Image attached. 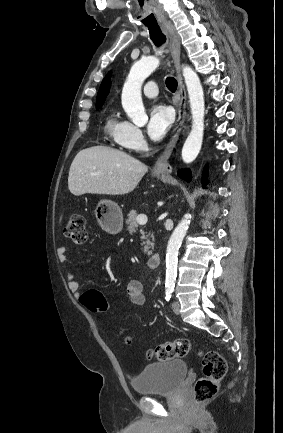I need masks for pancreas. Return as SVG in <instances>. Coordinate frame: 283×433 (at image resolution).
Wrapping results in <instances>:
<instances>
[{"instance_id": "cf45deb5", "label": "pancreas", "mask_w": 283, "mask_h": 433, "mask_svg": "<svg viewBox=\"0 0 283 433\" xmlns=\"http://www.w3.org/2000/svg\"><path fill=\"white\" fill-rule=\"evenodd\" d=\"M126 225H129L128 227V231L129 233H135V231H137V212L136 210H130L129 214H128V219H126ZM148 237H150V239H148ZM144 239H146V247H144V253H147V255H152V251H150L151 247H153L154 243V237H152V235H150V233H148V235H146V237H144ZM151 245V247H150Z\"/></svg>"}]
</instances>
